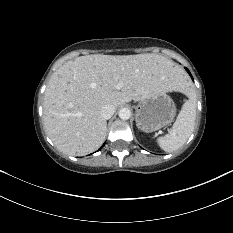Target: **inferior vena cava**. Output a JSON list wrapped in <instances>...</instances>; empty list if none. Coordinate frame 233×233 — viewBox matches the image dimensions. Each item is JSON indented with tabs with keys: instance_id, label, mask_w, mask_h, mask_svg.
I'll use <instances>...</instances> for the list:
<instances>
[{
	"instance_id": "1",
	"label": "inferior vena cava",
	"mask_w": 233,
	"mask_h": 233,
	"mask_svg": "<svg viewBox=\"0 0 233 233\" xmlns=\"http://www.w3.org/2000/svg\"><path fill=\"white\" fill-rule=\"evenodd\" d=\"M115 112V106L112 104H106L102 106L100 110V115L103 119L107 120L110 119Z\"/></svg>"
}]
</instances>
